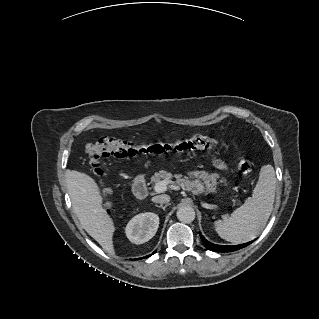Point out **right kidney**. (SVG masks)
<instances>
[{"label":"right kidney","mask_w":319,"mask_h":319,"mask_svg":"<svg viewBox=\"0 0 319 319\" xmlns=\"http://www.w3.org/2000/svg\"><path fill=\"white\" fill-rule=\"evenodd\" d=\"M159 217L152 212L134 216L127 224L125 231L128 239L134 244L149 241L157 232Z\"/></svg>","instance_id":"right-kidney-1"}]
</instances>
